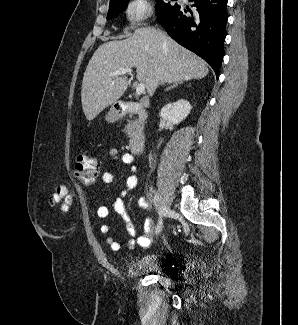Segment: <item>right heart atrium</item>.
<instances>
[{
    "label": "right heart atrium",
    "mask_w": 298,
    "mask_h": 325,
    "mask_svg": "<svg viewBox=\"0 0 298 325\" xmlns=\"http://www.w3.org/2000/svg\"><path fill=\"white\" fill-rule=\"evenodd\" d=\"M151 12L150 5L145 1H133L128 4L126 9V19L129 23H139Z\"/></svg>",
    "instance_id": "1"
}]
</instances>
